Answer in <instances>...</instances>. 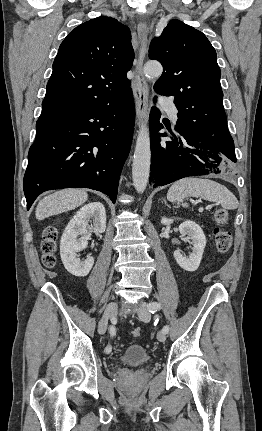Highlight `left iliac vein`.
<instances>
[{"label":"left iliac vein","mask_w":262,"mask_h":431,"mask_svg":"<svg viewBox=\"0 0 262 431\" xmlns=\"http://www.w3.org/2000/svg\"><path fill=\"white\" fill-rule=\"evenodd\" d=\"M137 314L142 321L148 322L151 318V313H150L149 308H148V303H146L144 301H140L138 303ZM157 339L160 342H165V340H166L165 333L163 331H159L157 334Z\"/></svg>","instance_id":"obj_1"}]
</instances>
